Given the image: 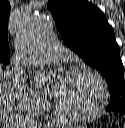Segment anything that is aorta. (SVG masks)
Listing matches in <instances>:
<instances>
[{
    "label": "aorta",
    "instance_id": "1",
    "mask_svg": "<svg viewBox=\"0 0 125 128\" xmlns=\"http://www.w3.org/2000/svg\"><path fill=\"white\" fill-rule=\"evenodd\" d=\"M51 28L50 20L45 17L29 16L23 20L16 38V46L24 63L33 61L35 51L49 37ZM32 74L41 86L49 84V75L36 65L32 67Z\"/></svg>",
    "mask_w": 125,
    "mask_h": 128
}]
</instances>
